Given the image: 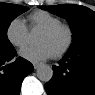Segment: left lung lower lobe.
Returning <instances> with one entry per match:
<instances>
[{
    "label": "left lung lower lobe",
    "mask_w": 95,
    "mask_h": 95,
    "mask_svg": "<svg viewBox=\"0 0 95 95\" xmlns=\"http://www.w3.org/2000/svg\"><path fill=\"white\" fill-rule=\"evenodd\" d=\"M53 71L48 95H95V46L68 52Z\"/></svg>",
    "instance_id": "1"
}]
</instances>
